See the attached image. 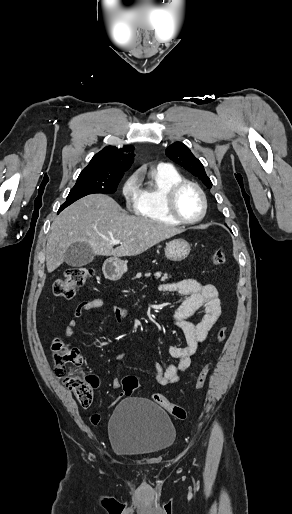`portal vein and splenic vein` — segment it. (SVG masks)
Returning a JSON list of instances; mask_svg holds the SVG:
<instances>
[{"mask_svg": "<svg viewBox=\"0 0 292 514\" xmlns=\"http://www.w3.org/2000/svg\"><path fill=\"white\" fill-rule=\"evenodd\" d=\"M111 244H113V246H116V244H122V242H120V240H113Z\"/></svg>", "mask_w": 292, "mask_h": 514, "instance_id": "18ae733b", "label": "portal vein and splenic vein"}]
</instances>
